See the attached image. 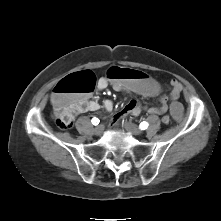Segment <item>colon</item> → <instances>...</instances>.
I'll return each mask as SVG.
<instances>
[{
    "label": "colon",
    "mask_w": 221,
    "mask_h": 221,
    "mask_svg": "<svg viewBox=\"0 0 221 221\" xmlns=\"http://www.w3.org/2000/svg\"><path fill=\"white\" fill-rule=\"evenodd\" d=\"M107 79L113 83H120L134 90L136 93L149 97L160 93V83L146 71H136L124 66L113 65L107 69ZM96 85V77L91 71H82L57 83L52 93L55 123L58 128L66 129L73 123L78 111L77 100L80 96L91 92ZM169 116L172 123H183L186 116V108L182 102L171 100L169 102Z\"/></svg>",
    "instance_id": "1"
}]
</instances>
